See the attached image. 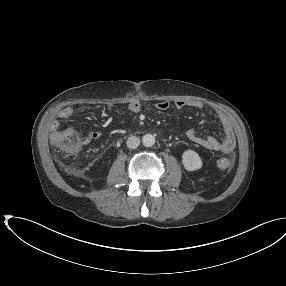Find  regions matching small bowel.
<instances>
[{"mask_svg": "<svg viewBox=\"0 0 286 286\" xmlns=\"http://www.w3.org/2000/svg\"><path fill=\"white\" fill-rule=\"evenodd\" d=\"M171 107V103L168 101H161L156 104V108L160 111H166ZM174 107L181 110L185 107H191L194 109H202L203 104L199 101H184L177 100L174 102ZM142 108V100L135 99L128 105V111L131 113H138ZM74 114V109L71 106H65L57 112V117L61 120H67L71 118ZM220 123L223 127L225 137L223 140H218L214 137L201 136L198 134L197 130L189 129L186 132V137L194 144L211 151L221 152L223 154H230L236 146V137L233 129L232 122L230 118L220 112L218 114ZM60 129V122L54 120L50 124L51 136ZM101 134L99 132L93 131L87 134L88 141H94L100 139Z\"/></svg>", "mask_w": 286, "mask_h": 286, "instance_id": "c3829d8e", "label": "small bowel"}]
</instances>
